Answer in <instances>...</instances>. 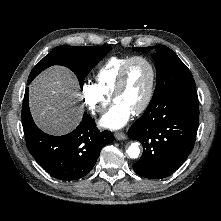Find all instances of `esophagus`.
<instances>
[{
	"mask_svg": "<svg viewBox=\"0 0 221 221\" xmlns=\"http://www.w3.org/2000/svg\"><path fill=\"white\" fill-rule=\"evenodd\" d=\"M114 136L117 140H125L127 139V136L124 132H120V131H117L114 133Z\"/></svg>",
	"mask_w": 221,
	"mask_h": 221,
	"instance_id": "esophagus-1",
	"label": "esophagus"
}]
</instances>
